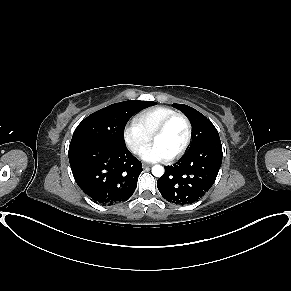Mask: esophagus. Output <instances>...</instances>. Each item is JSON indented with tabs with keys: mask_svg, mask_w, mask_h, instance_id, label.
Returning a JSON list of instances; mask_svg holds the SVG:
<instances>
[{
	"mask_svg": "<svg viewBox=\"0 0 291 291\" xmlns=\"http://www.w3.org/2000/svg\"><path fill=\"white\" fill-rule=\"evenodd\" d=\"M142 166H143L144 169H147V168L150 167L151 165L146 164V163H143Z\"/></svg>",
	"mask_w": 291,
	"mask_h": 291,
	"instance_id": "esophagus-1",
	"label": "esophagus"
}]
</instances>
